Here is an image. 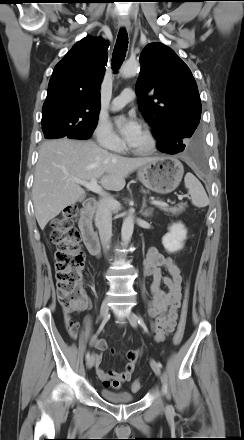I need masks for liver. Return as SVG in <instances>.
<instances>
[{"label": "liver", "mask_w": 244, "mask_h": 440, "mask_svg": "<svg viewBox=\"0 0 244 440\" xmlns=\"http://www.w3.org/2000/svg\"><path fill=\"white\" fill-rule=\"evenodd\" d=\"M155 159L118 156L89 140L64 138L44 142L39 150L32 188L39 227L43 230L65 207L85 197V191L74 179H96L105 189L120 191L129 174Z\"/></svg>", "instance_id": "liver-1"}]
</instances>
